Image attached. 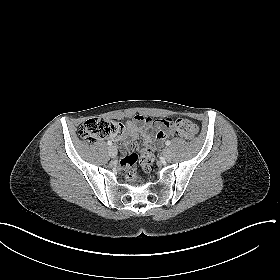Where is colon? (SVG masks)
<instances>
[{"mask_svg": "<svg viewBox=\"0 0 280 280\" xmlns=\"http://www.w3.org/2000/svg\"><path fill=\"white\" fill-rule=\"evenodd\" d=\"M170 126L178 135L186 139H192L198 133V127L188 119L177 118L171 122ZM122 130L123 126L119 123L104 118H92L79 127L78 134L86 142H95L106 137L117 136ZM138 162L144 169H149L153 162V149L147 147L140 156L130 154L122 158L121 166L130 179H135L137 176Z\"/></svg>", "mask_w": 280, "mask_h": 280, "instance_id": "colon-1", "label": "colon"}]
</instances>
